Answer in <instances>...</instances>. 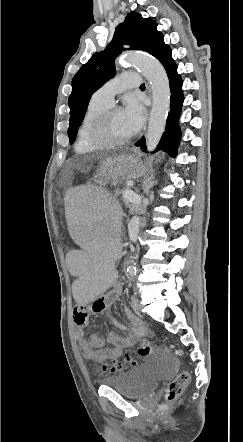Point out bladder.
Wrapping results in <instances>:
<instances>
[{"label": "bladder", "instance_id": "1", "mask_svg": "<svg viewBox=\"0 0 243 442\" xmlns=\"http://www.w3.org/2000/svg\"><path fill=\"white\" fill-rule=\"evenodd\" d=\"M174 369L172 359L155 354L130 371L117 372L101 382L128 399H141L155 391L163 380L172 377Z\"/></svg>", "mask_w": 243, "mask_h": 442}]
</instances>
